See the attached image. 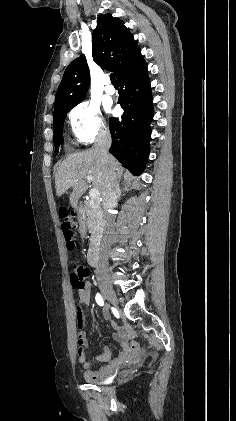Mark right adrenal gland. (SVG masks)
I'll return each mask as SVG.
<instances>
[{
  "instance_id": "right-adrenal-gland-1",
  "label": "right adrenal gland",
  "mask_w": 236,
  "mask_h": 421,
  "mask_svg": "<svg viewBox=\"0 0 236 421\" xmlns=\"http://www.w3.org/2000/svg\"><path fill=\"white\" fill-rule=\"evenodd\" d=\"M129 184H124V188H122V190H120L119 186H118V192H117V196L118 198H121V196H123V194H121V192H127V190H129L128 188Z\"/></svg>"
}]
</instances>
